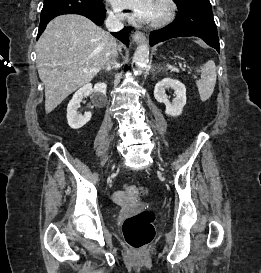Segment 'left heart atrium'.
Wrapping results in <instances>:
<instances>
[{"label": "left heart atrium", "mask_w": 261, "mask_h": 273, "mask_svg": "<svg viewBox=\"0 0 261 273\" xmlns=\"http://www.w3.org/2000/svg\"><path fill=\"white\" fill-rule=\"evenodd\" d=\"M118 10L126 11V15L134 20L147 22L152 20L155 11V0H111Z\"/></svg>", "instance_id": "1"}]
</instances>
